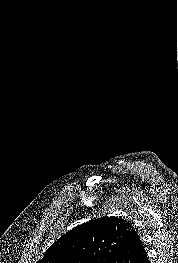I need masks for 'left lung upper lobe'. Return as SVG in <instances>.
I'll return each instance as SVG.
<instances>
[{"mask_svg": "<svg viewBox=\"0 0 178 263\" xmlns=\"http://www.w3.org/2000/svg\"><path fill=\"white\" fill-rule=\"evenodd\" d=\"M131 228L115 216L86 222L62 235L38 263H109Z\"/></svg>", "mask_w": 178, "mask_h": 263, "instance_id": "5c2ea615", "label": "left lung upper lobe"}]
</instances>
